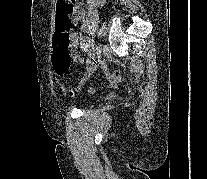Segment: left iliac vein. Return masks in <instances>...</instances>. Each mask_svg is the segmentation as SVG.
<instances>
[{"mask_svg":"<svg viewBox=\"0 0 207 179\" xmlns=\"http://www.w3.org/2000/svg\"><path fill=\"white\" fill-rule=\"evenodd\" d=\"M102 49H103V46L99 45L98 49H97V53H96V57H95L94 63L91 64L89 66V68L87 69V73L85 74L84 78L81 80V84L83 82H85L93 74V72L96 70V68L98 66V62H100L103 59V56L101 54Z\"/></svg>","mask_w":207,"mask_h":179,"instance_id":"1","label":"left iliac vein"}]
</instances>
